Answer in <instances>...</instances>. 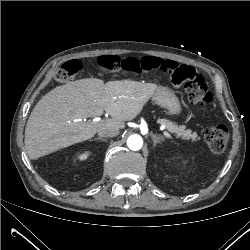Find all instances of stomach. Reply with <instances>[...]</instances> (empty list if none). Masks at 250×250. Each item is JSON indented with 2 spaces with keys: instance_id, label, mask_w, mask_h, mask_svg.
<instances>
[{
  "instance_id": "1",
  "label": "stomach",
  "mask_w": 250,
  "mask_h": 250,
  "mask_svg": "<svg viewBox=\"0 0 250 250\" xmlns=\"http://www.w3.org/2000/svg\"><path fill=\"white\" fill-rule=\"evenodd\" d=\"M152 100L165 108L172 115H179L182 107L178 97L168 88L159 87L153 94Z\"/></svg>"
}]
</instances>
